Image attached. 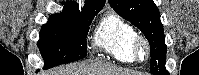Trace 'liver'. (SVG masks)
I'll return each instance as SVG.
<instances>
[{"label":"liver","mask_w":199,"mask_h":75,"mask_svg":"<svg viewBox=\"0 0 199 75\" xmlns=\"http://www.w3.org/2000/svg\"><path fill=\"white\" fill-rule=\"evenodd\" d=\"M47 75H137L136 72L118 68L108 62L99 61L86 65L74 64L68 68H61L48 72Z\"/></svg>","instance_id":"1"}]
</instances>
